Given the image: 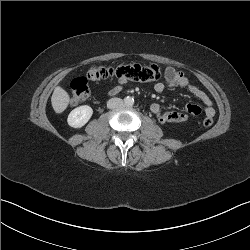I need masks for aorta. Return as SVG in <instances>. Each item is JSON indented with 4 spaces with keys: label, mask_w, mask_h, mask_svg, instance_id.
Instances as JSON below:
<instances>
[{
    "label": "aorta",
    "mask_w": 250,
    "mask_h": 250,
    "mask_svg": "<svg viewBox=\"0 0 250 250\" xmlns=\"http://www.w3.org/2000/svg\"><path fill=\"white\" fill-rule=\"evenodd\" d=\"M124 104H125L127 107L133 106V104H134V99H133V97H130V96L125 97V99H124Z\"/></svg>",
    "instance_id": "1"
}]
</instances>
